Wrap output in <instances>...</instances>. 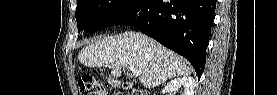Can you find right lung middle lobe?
Here are the masks:
<instances>
[{
    "mask_svg": "<svg viewBox=\"0 0 277 95\" xmlns=\"http://www.w3.org/2000/svg\"><path fill=\"white\" fill-rule=\"evenodd\" d=\"M141 0H79L75 12L78 32H93L116 24Z\"/></svg>",
    "mask_w": 277,
    "mask_h": 95,
    "instance_id": "1",
    "label": "right lung middle lobe"
}]
</instances>
